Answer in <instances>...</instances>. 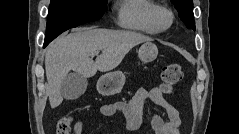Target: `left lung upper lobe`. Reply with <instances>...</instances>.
I'll list each match as a JSON object with an SVG mask.
<instances>
[{
    "mask_svg": "<svg viewBox=\"0 0 239 134\" xmlns=\"http://www.w3.org/2000/svg\"><path fill=\"white\" fill-rule=\"evenodd\" d=\"M175 5L178 15L189 29L195 30L192 0H171Z\"/></svg>",
    "mask_w": 239,
    "mask_h": 134,
    "instance_id": "1",
    "label": "left lung upper lobe"
}]
</instances>
